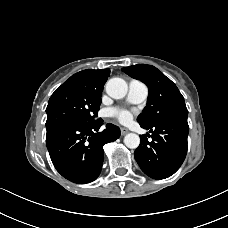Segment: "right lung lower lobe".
<instances>
[{
  "label": "right lung lower lobe",
  "instance_id": "98d812e1",
  "mask_svg": "<svg viewBox=\"0 0 228 228\" xmlns=\"http://www.w3.org/2000/svg\"><path fill=\"white\" fill-rule=\"evenodd\" d=\"M102 124L100 118L93 123L63 124L47 131L46 145L51 160L64 178L84 184L99 176L103 146L120 137L119 127L110 123L102 132H97Z\"/></svg>",
  "mask_w": 228,
  "mask_h": 228
}]
</instances>
